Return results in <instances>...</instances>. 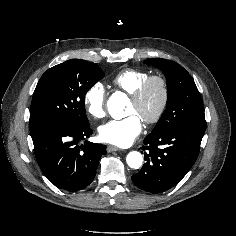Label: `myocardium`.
<instances>
[{
	"label": "myocardium",
	"mask_w": 236,
	"mask_h": 236,
	"mask_svg": "<svg viewBox=\"0 0 236 236\" xmlns=\"http://www.w3.org/2000/svg\"><path fill=\"white\" fill-rule=\"evenodd\" d=\"M153 84L159 86L161 99L155 113L151 116L142 118L146 124L157 123L167 108L169 100V87L167 80L161 75H150L130 96L133 102L137 104L141 103Z\"/></svg>",
	"instance_id": "myocardium-1"
}]
</instances>
